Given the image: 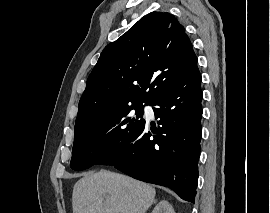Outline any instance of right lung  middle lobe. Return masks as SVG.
Segmentation results:
<instances>
[{
	"mask_svg": "<svg viewBox=\"0 0 270 213\" xmlns=\"http://www.w3.org/2000/svg\"><path fill=\"white\" fill-rule=\"evenodd\" d=\"M143 107L132 103L75 123L71 168L79 171L98 164L132 137L145 124Z\"/></svg>",
	"mask_w": 270,
	"mask_h": 213,
	"instance_id": "right-lung-middle-lobe-1",
	"label": "right lung middle lobe"
}]
</instances>
